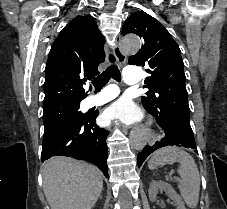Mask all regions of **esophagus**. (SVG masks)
<instances>
[{
	"label": "esophagus",
	"mask_w": 227,
	"mask_h": 209,
	"mask_svg": "<svg viewBox=\"0 0 227 209\" xmlns=\"http://www.w3.org/2000/svg\"><path fill=\"white\" fill-rule=\"evenodd\" d=\"M120 39H121V36L120 34L117 35L116 37V40H115V45L113 47V52H114V55L117 59V61L119 62V65L121 67H123V65H125L126 63V59H127V56L125 55V53L122 52L121 48H120ZM147 122V125H148V131L151 133L150 134V137L147 138V146H154V144L156 143V138L155 137V134L152 133L154 130L151 128L152 127V124H151V121L150 120H145Z\"/></svg>",
	"instance_id": "1"
}]
</instances>
